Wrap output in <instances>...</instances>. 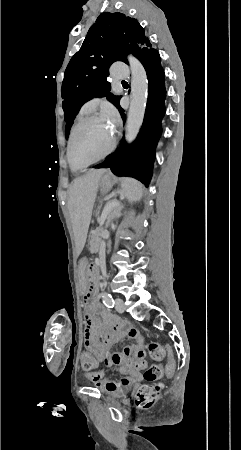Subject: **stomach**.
Wrapping results in <instances>:
<instances>
[{"instance_id": "0dacf381", "label": "stomach", "mask_w": 241, "mask_h": 450, "mask_svg": "<svg viewBox=\"0 0 241 450\" xmlns=\"http://www.w3.org/2000/svg\"><path fill=\"white\" fill-rule=\"evenodd\" d=\"M112 186L111 177L104 175L100 178L99 187L102 193H107ZM87 260L82 259L79 262V272H78V286L82 292H85L87 287Z\"/></svg>"}]
</instances>
